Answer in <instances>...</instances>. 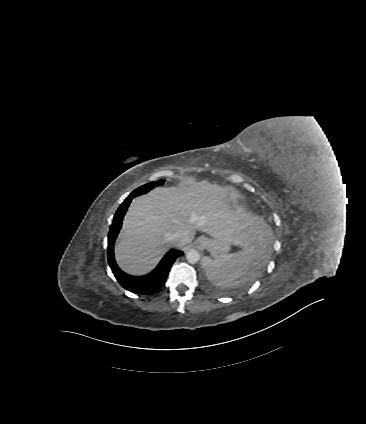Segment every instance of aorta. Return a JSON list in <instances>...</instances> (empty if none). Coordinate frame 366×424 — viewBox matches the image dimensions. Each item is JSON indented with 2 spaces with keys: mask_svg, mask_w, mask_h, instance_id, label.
I'll return each mask as SVG.
<instances>
[{
  "mask_svg": "<svg viewBox=\"0 0 366 424\" xmlns=\"http://www.w3.org/2000/svg\"><path fill=\"white\" fill-rule=\"evenodd\" d=\"M186 259L190 264H196L200 260V253L195 249H191L187 252Z\"/></svg>",
  "mask_w": 366,
  "mask_h": 424,
  "instance_id": "aorta-1",
  "label": "aorta"
}]
</instances>
